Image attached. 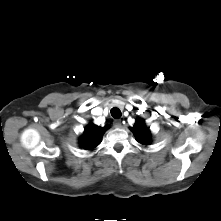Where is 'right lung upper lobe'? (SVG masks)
<instances>
[{
  "instance_id": "right-lung-upper-lobe-1",
  "label": "right lung upper lobe",
  "mask_w": 221,
  "mask_h": 221,
  "mask_svg": "<svg viewBox=\"0 0 221 221\" xmlns=\"http://www.w3.org/2000/svg\"><path fill=\"white\" fill-rule=\"evenodd\" d=\"M108 127V125L99 127L92 123L88 125L80 138V146L87 150H91L98 146L102 140V135Z\"/></svg>"
}]
</instances>
